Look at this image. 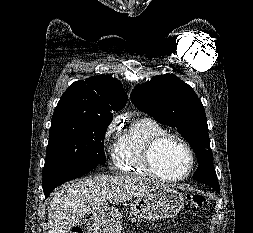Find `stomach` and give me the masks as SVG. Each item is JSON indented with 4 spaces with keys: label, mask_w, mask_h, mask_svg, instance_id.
<instances>
[{
    "label": "stomach",
    "mask_w": 253,
    "mask_h": 233,
    "mask_svg": "<svg viewBox=\"0 0 253 233\" xmlns=\"http://www.w3.org/2000/svg\"><path fill=\"white\" fill-rule=\"evenodd\" d=\"M183 206L184 198L181 193L168 186H161L137 197L131 204L130 212L146 219H167L176 216ZM120 219L116 210L109 211L107 215L95 214L91 218L90 231L119 233Z\"/></svg>",
    "instance_id": "1"
}]
</instances>
